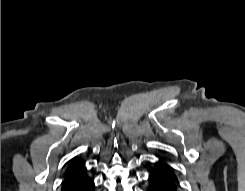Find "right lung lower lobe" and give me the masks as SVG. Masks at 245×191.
<instances>
[{"instance_id":"obj_1","label":"right lung lower lobe","mask_w":245,"mask_h":191,"mask_svg":"<svg viewBox=\"0 0 245 191\" xmlns=\"http://www.w3.org/2000/svg\"><path fill=\"white\" fill-rule=\"evenodd\" d=\"M61 191H95V186L93 180L87 176L86 168L82 167L65 176Z\"/></svg>"}]
</instances>
